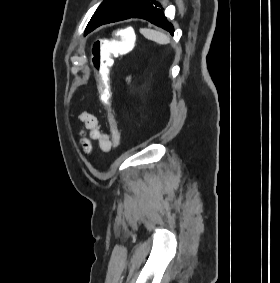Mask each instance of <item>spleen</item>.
I'll list each match as a JSON object with an SVG mask.
<instances>
[{"instance_id":"spleen-1","label":"spleen","mask_w":280,"mask_h":283,"mask_svg":"<svg viewBox=\"0 0 280 283\" xmlns=\"http://www.w3.org/2000/svg\"><path fill=\"white\" fill-rule=\"evenodd\" d=\"M140 33L147 39L152 40L158 44L165 45L170 43V38L160 32L153 29L141 28Z\"/></svg>"}]
</instances>
